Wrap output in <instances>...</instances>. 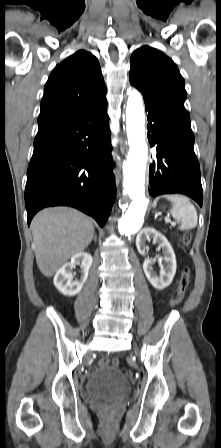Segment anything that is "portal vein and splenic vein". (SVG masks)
<instances>
[{
    "instance_id": "18ae733b",
    "label": "portal vein and splenic vein",
    "mask_w": 221,
    "mask_h": 448,
    "mask_svg": "<svg viewBox=\"0 0 221 448\" xmlns=\"http://www.w3.org/2000/svg\"><path fill=\"white\" fill-rule=\"evenodd\" d=\"M165 221L174 224V222H171V219H170L169 217H166V218H165Z\"/></svg>"
}]
</instances>
